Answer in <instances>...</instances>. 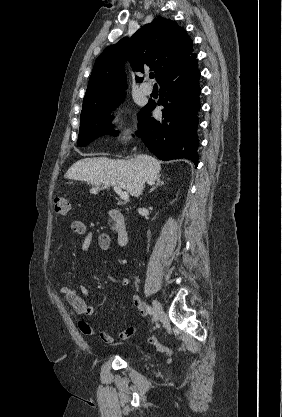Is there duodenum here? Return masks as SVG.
Segmentation results:
<instances>
[{
    "mask_svg": "<svg viewBox=\"0 0 282 417\" xmlns=\"http://www.w3.org/2000/svg\"><path fill=\"white\" fill-rule=\"evenodd\" d=\"M107 213H108V216L115 223L116 235H117V240H118L119 245L121 247H125L128 242L129 233H128V229L125 223L124 215L120 211L114 208L108 209Z\"/></svg>",
    "mask_w": 282,
    "mask_h": 417,
    "instance_id": "1",
    "label": "duodenum"
}]
</instances>
